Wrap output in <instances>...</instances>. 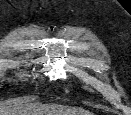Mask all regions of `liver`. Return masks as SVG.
I'll list each match as a JSON object with an SVG mask.
<instances>
[{
    "instance_id": "6515ba94",
    "label": "liver",
    "mask_w": 131,
    "mask_h": 115,
    "mask_svg": "<svg viewBox=\"0 0 131 115\" xmlns=\"http://www.w3.org/2000/svg\"><path fill=\"white\" fill-rule=\"evenodd\" d=\"M92 115L90 112H81ZM77 114L75 110H69L62 106H50L41 104H27L22 101H14L7 106L0 107V115H70Z\"/></svg>"
}]
</instances>
